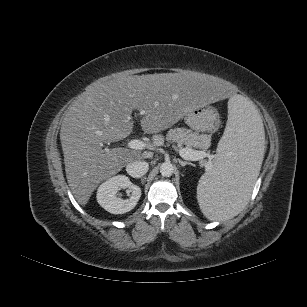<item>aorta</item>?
I'll return each instance as SVG.
<instances>
[{
    "label": "aorta",
    "instance_id": "aorta-1",
    "mask_svg": "<svg viewBox=\"0 0 307 307\" xmlns=\"http://www.w3.org/2000/svg\"><path fill=\"white\" fill-rule=\"evenodd\" d=\"M174 172V167L170 162H164L160 166V173L164 177L172 176Z\"/></svg>",
    "mask_w": 307,
    "mask_h": 307
}]
</instances>
